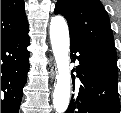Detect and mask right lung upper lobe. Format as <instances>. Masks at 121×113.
Here are the masks:
<instances>
[{
    "label": "right lung upper lobe",
    "instance_id": "right-lung-upper-lobe-1",
    "mask_svg": "<svg viewBox=\"0 0 121 113\" xmlns=\"http://www.w3.org/2000/svg\"><path fill=\"white\" fill-rule=\"evenodd\" d=\"M28 28L23 0H1V41Z\"/></svg>",
    "mask_w": 121,
    "mask_h": 113
}]
</instances>
